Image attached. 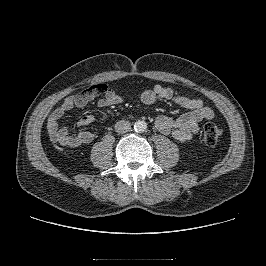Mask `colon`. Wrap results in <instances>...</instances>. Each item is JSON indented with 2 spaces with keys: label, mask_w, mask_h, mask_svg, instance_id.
Here are the masks:
<instances>
[{
  "label": "colon",
  "mask_w": 266,
  "mask_h": 266,
  "mask_svg": "<svg viewBox=\"0 0 266 266\" xmlns=\"http://www.w3.org/2000/svg\"><path fill=\"white\" fill-rule=\"evenodd\" d=\"M106 88L102 84L94 85L86 90L89 97H95L103 94ZM222 136V129L215 123H206L201 132V143L205 146H213L217 144Z\"/></svg>",
  "instance_id": "1"
}]
</instances>
